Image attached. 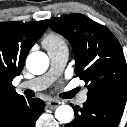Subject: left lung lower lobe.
I'll list each match as a JSON object with an SVG mask.
<instances>
[{"label": "left lung lower lobe", "mask_w": 127, "mask_h": 127, "mask_svg": "<svg viewBox=\"0 0 127 127\" xmlns=\"http://www.w3.org/2000/svg\"><path fill=\"white\" fill-rule=\"evenodd\" d=\"M75 119L65 127H117L124 108L87 100L82 108L73 106Z\"/></svg>", "instance_id": "1"}]
</instances>
